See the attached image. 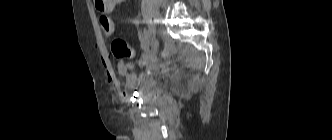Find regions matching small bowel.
I'll return each instance as SVG.
<instances>
[{
  "label": "small bowel",
  "mask_w": 332,
  "mask_h": 140,
  "mask_svg": "<svg viewBox=\"0 0 332 140\" xmlns=\"http://www.w3.org/2000/svg\"><path fill=\"white\" fill-rule=\"evenodd\" d=\"M113 9V7H108L105 12H110ZM143 46L145 48L148 47V44H146L143 40ZM156 54V47L152 46L147 55L142 58V60L139 62L140 67L142 68H152L153 62ZM106 65V75L111 83H113L115 86H120V82L116 78L114 72L112 71L109 64L105 63ZM117 72L120 76L125 78V82L123 84V87L126 90L135 89L139 86H142L146 80L147 76H149V73H145L144 71H141L139 74H137L134 70V65L130 62H126L124 60H120L117 65Z\"/></svg>",
  "instance_id": "small-bowel-1"
}]
</instances>
